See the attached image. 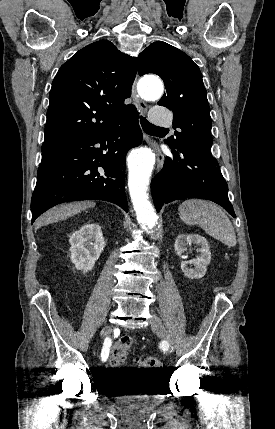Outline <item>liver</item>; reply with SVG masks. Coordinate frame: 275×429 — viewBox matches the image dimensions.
<instances>
[{
  "mask_svg": "<svg viewBox=\"0 0 275 429\" xmlns=\"http://www.w3.org/2000/svg\"><path fill=\"white\" fill-rule=\"evenodd\" d=\"M91 203H74V204H66L60 205L52 208L45 214H43L35 223L36 228L47 225L52 222H56L58 220H62L68 216L75 215L79 213L81 210L92 206Z\"/></svg>",
  "mask_w": 275,
  "mask_h": 429,
  "instance_id": "1",
  "label": "liver"
}]
</instances>
